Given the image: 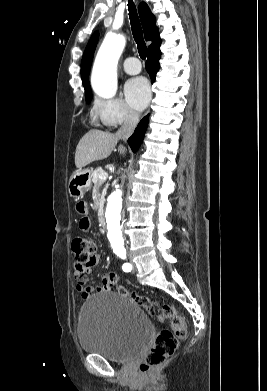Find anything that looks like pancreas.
<instances>
[{
	"label": "pancreas",
	"instance_id": "pancreas-1",
	"mask_svg": "<svg viewBox=\"0 0 267 391\" xmlns=\"http://www.w3.org/2000/svg\"><path fill=\"white\" fill-rule=\"evenodd\" d=\"M104 172H105V171H104L101 167L95 169V170L92 172V181H93V183H94L97 187L101 186V185L103 184V182H104V180H101V179L99 178V176H100L102 173H104Z\"/></svg>",
	"mask_w": 267,
	"mask_h": 391
}]
</instances>
